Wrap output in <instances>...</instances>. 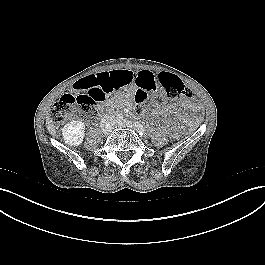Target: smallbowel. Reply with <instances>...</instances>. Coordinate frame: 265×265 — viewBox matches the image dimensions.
I'll return each mask as SVG.
<instances>
[{"label": "small bowel", "instance_id": "small-bowel-1", "mask_svg": "<svg viewBox=\"0 0 265 265\" xmlns=\"http://www.w3.org/2000/svg\"><path fill=\"white\" fill-rule=\"evenodd\" d=\"M96 76H104L108 80L114 82L119 89L129 87L131 91L133 90L134 86L148 90H156L161 86L159 83L160 74L147 70L141 71L139 73H134L130 70L121 69L102 72L97 74ZM178 107H183L182 102L177 105L168 104L162 109H155L153 110V114H166L168 112L176 110Z\"/></svg>", "mask_w": 265, "mask_h": 265}]
</instances>
